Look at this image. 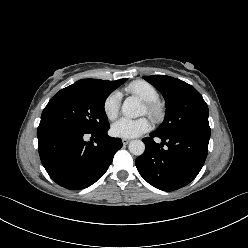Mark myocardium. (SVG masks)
<instances>
[{
	"mask_svg": "<svg viewBox=\"0 0 248 248\" xmlns=\"http://www.w3.org/2000/svg\"><path fill=\"white\" fill-rule=\"evenodd\" d=\"M145 110L146 113L154 119H159L163 113V108L158 101L145 103Z\"/></svg>",
	"mask_w": 248,
	"mask_h": 248,
	"instance_id": "myocardium-1",
	"label": "myocardium"
}]
</instances>
